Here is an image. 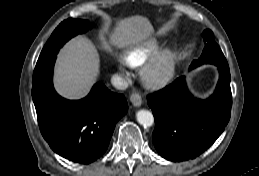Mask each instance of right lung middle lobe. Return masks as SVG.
<instances>
[{"instance_id":"obj_1","label":"right lung middle lobe","mask_w":259,"mask_h":176,"mask_svg":"<svg viewBox=\"0 0 259 176\" xmlns=\"http://www.w3.org/2000/svg\"><path fill=\"white\" fill-rule=\"evenodd\" d=\"M90 23L82 19H67L52 33L39 57L61 48L73 36L88 30Z\"/></svg>"}]
</instances>
